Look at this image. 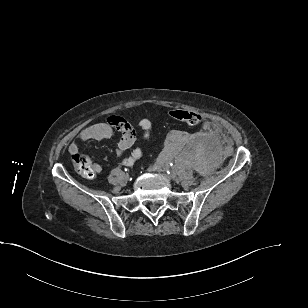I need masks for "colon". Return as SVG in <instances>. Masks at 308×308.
<instances>
[{
	"instance_id": "obj_1",
	"label": "colon",
	"mask_w": 308,
	"mask_h": 308,
	"mask_svg": "<svg viewBox=\"0 0 308 308\" xmlns=\"http://www.w3.org/2000/svg\"><path fill=\"white\" fill-rule=\"evenodd\" d=\"M169 114L173 119L189 126H197L202 122V117L195 112L175 109L170 111ZM72 161L75 169L81 175L92 177L95 174L91 160L87 155L77 152L72 155Z\"/></svg>"
}]
</instances>
